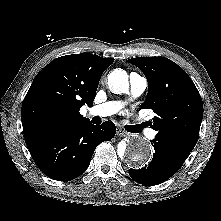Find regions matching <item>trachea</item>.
Listing matches in <instances>:
<instances>
[{
    "mask_svg": "<svg viewBox=\"0 0 221 221\" xmlns=\"http://www.w3.org/2000/svg\"><path fill=\"white\" fill-rule=\"evenodd\" d=\"M133 131L134 132H139L140 131V126H138V125L134 126V130Z\"/></svg>",
    "mask_w": 221,
    "mask_h": 221,
    "instance_id": "obj_1",
    "label": "trachea"
}]
</instances>
